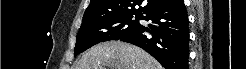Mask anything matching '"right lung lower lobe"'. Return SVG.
<instances>
[{
    "label": "right lung lower lobe",
    "mask_w": 246,
    "mask_h": 69,
    "mask_svg": "<svg viewBox=\"0 0 246 69\" xmlns=\"http://www.w3.org/2000/svg\"><path fill=\"white\" fill-rule=\"evenodd\" d=\"M141 19L151 21L149 28L139 25L119 40L143 48L165 69H188L189 29L184 1L166 0L146 9Z\"/></svg>",
    "instance_id": "right-lung-lower-lobe-1"
}]
</instances>
